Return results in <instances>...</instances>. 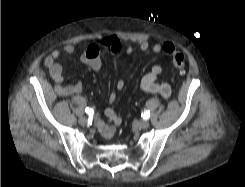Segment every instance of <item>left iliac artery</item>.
I'll return each instance as SVG.
<instances>
[{
	"mask_svg": "<svg viewBox=\"0 0 245 187\" xmlns=\"http://www.w3.org/2000/svg\"><path fill=\"white\" fill-rule=\"evenodd\" d=\"M143 118L148 119L150 117V111H144V113H142Z\"/></svg>",
	"mask_w": 245,
	"mask_h": 187,
	"instance_id": "left-iliac-artery-1",
	"label": "left iliac artery"
}]
</instances>
